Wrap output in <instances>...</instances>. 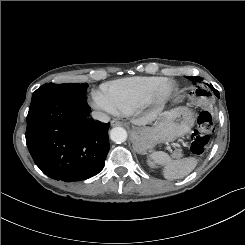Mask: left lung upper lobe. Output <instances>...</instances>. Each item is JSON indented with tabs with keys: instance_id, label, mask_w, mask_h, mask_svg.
I'll return each instance as SVG.
<instances>
[{
	"instance_id": "5c2ea615",
	"label": "left lung upper lobe",
	"mask_w": 245,
	"mask_h": 245,
	"mask_svg": "<svg viewBox=\"0 0 245 245\" xmlns=\"http://www.w3.org/2000/svg\"><path fill=\"white\" fill-rule=\"evenodd\" d=\"M191 81L193 82H196V83H199L202 81V78L198 77V76H190L188 77ZM211 89H213L214 93H218V91H216L212 86H211ZM216 96H219V93L216 95Z\"/></svg>"
}]
</instances>
